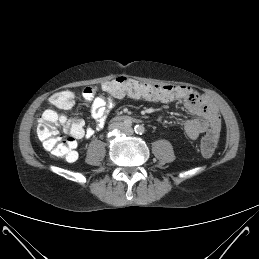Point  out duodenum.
<instances>
[{"label": "duodenum", "instance_id": "obj_1", "mask_svg": "<svg viewBox=\"0 0 259 259\" xmlns=\"http://www.w3.org/2000/svg\"><path fill=\"white\" fill-rule=\"evenodd\" d=\"M127 120H130L132 121L133 118L131 116H128V115H119V116H116L113 121L114 122H125Z\"/></svg>", "mask_w": 259, "mask_h": 259}]
</instances>
